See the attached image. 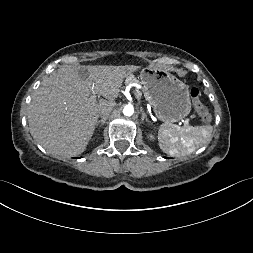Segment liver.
Returning a JSON list of instances; mask_svg holds the SVG:
<instances>
[{"label":"liver","mask_w":253,"mask_h":253,"mask_svg":"<svg viewBox=\"0 0 253 253\" xmlns=\"http://www.w3.org/2000/svg\"><path fill=\"white\" fill-rule=\"evenodd\" d=\"M137 66H64L46 78L28 107L32 137L61 156L83 153L98 123L101 107L115 102L126 77ZM103 98L93 99L91 94Z\"/></svg>","instance_id":"1"}]
</instances>
